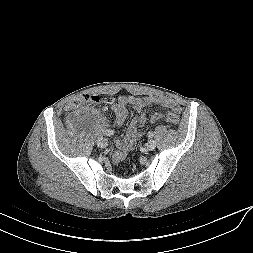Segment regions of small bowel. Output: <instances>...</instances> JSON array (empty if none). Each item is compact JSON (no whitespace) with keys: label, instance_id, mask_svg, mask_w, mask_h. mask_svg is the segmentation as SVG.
Wrapping results in <instances>:
<instances>
[{"label":"small bowel","instance_id":"obj_1","mask_svg":"<svg viewBox=\"0 0 253 253\" xmlns=\"http://www.w3.org/2000/svg\"><path fill=\"white\" fill-rule=\"evenodd\" d=\"M155 104L161 105L169 113L177 114L181 111V106L175 99L163 95L119 97L117 104L114 106L116 126H121L125 121L127 115L126 105H131L136 110V115L127 127L124 139L118 141L119 150L113 155L114 163H119L124 160L126 155L134 148L140 134L139 129L145 125L146 111ZM166 115L164 113L153 115L151 117V123H156L166 118Z\"/></svg>","mask_w":253,"mask_h":253}]
</instances>
